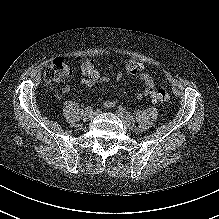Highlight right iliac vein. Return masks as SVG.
I'll use <instances>...</instances> for the list:
<instances>
[{
  "mask_svg": "<svg viewBox=\"0 0 219 219\" xmlns=\"http://www.w3.org/2000/svg\"><path fill=\"white\" fill-rule=\"evenodd\" d=\"M94 117V114L92 112H88L84 114V118L87 120H90Z\"/></svg>",
  "mask_w": 219,
  "mask_h": 219,
  "instance_id": "63e3f726",
  "label": "right iliac vein"
}]
</instances>
